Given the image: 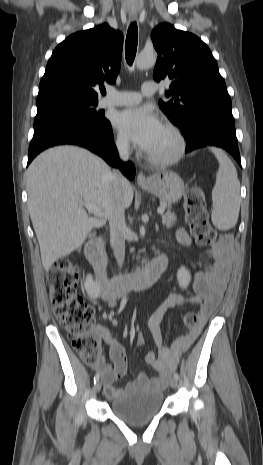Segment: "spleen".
I'll return each instance as SVG.
<instances>
[{"mask_svg": "<svg viewBox=\"0 0 263 465\" xmlns=\"http://www.w3.org/2000/svg\"><path fill=\"white\" fill-rule=\"evenodd\" d=\"M211 151L219 162L216 183L212 190L211 220L219 230H229L236 225L238 220L240 183L236 168L227 155L220 149L212 148Z\"/></svg>", "mask_w": 263, "mask_h": 465, "instance_id": "3e777b00", "label": "spleen"}]
</instances>
